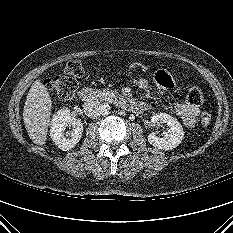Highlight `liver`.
Here are the masks:
<instances>
[{
	"label": "liver",
	"instance_id": "liver-1",
	"mask_svg": "<svg viewBox=\"0 0 233 233\" xmlns=\"http://www.w3.org/2000/svg\"><path fill=\"white\" fill-rule=\"evenodd\" d=\"M51 109L52 99L48 89L36 80L25 101L23 121L30 139L37 145L46 143Z\"/></svg>",
	"mask_w": 233,
	"mask_h": 233
}]
</instances>
